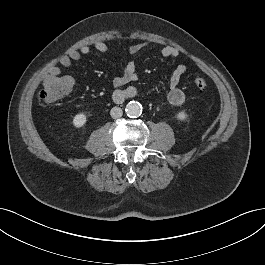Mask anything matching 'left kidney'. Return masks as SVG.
Listing matches in <instances>:
<instances>
[{"label": "left kidney", "instance_id": "1", "mask_svg": "<svg viewBox=\"0 0 265 265\" xmlns=\"http://www.w3.org/2000/svg\"><path fill=\"white\" fill-rule=\"evenodd\" d=\"M176 118L180 121H186L188 118V115L185 111H180L176 114Z\"/></svg>", "mask_w": 265, "mask_h": 265}]
</instances>
